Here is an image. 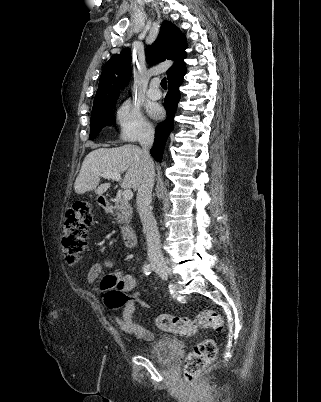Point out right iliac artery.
Here are the masks:
<instances>
[{
    "mask_svg": "<svg viewBox=\"0 0 321 402\" xmlns=\"http://www.w3.org/2000/svg\"><path fill=\"white\" fill-rule=\"evenodd\" d=\"M151 271H152V268H151V266L150 265H144V267H143V272L146 274V275H149L150 273H151Z\"/></svg>",
    "mask_w": 321,
    "mask_h": 402,
    "instance_id": "1",
    "label": "right iliac artery"
}]
</instances>
